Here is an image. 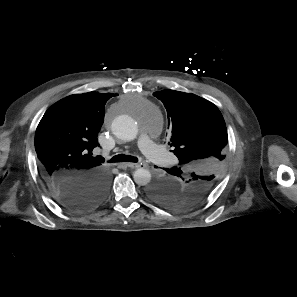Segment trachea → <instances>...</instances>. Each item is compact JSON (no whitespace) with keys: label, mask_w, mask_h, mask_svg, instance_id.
<instances>
[{"label":"trachea","mask_w":297,"mask_h":297,"mask_svg":"<svg viewBox=\"0 0 297 297\" xmlns=\"http://www.w3.org/2000/svg\"><path fill=\"white\" fill-rule=\"evenodd\" d=\"M109 163H116V162H138V158L130 155L125 154H118L108 160Z\"/></svg>","instance_id":"obj_1"}]
</instances>
